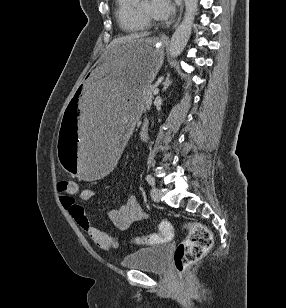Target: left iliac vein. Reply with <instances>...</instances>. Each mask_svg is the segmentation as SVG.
<instances>
[{
	"mask_svg": "<svg viewBox=\"0 0 286 308\" xmlns=\"http://www.w3.org/2000/svg\"><path fill=\"white\" fill-rule=\"evenodd\" d=\"M151 198L153 201L159 202L161 198V191L156 187H152L151 188Z\"/></svg>",
	"mask_w": 286,
	"mask_h": 308,
	"instance_id": "1",
	"label": "left iliac vein"
}]
</instances>
